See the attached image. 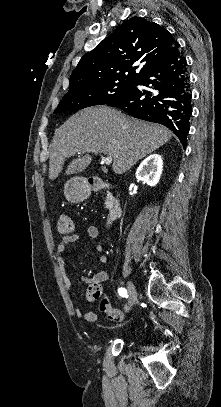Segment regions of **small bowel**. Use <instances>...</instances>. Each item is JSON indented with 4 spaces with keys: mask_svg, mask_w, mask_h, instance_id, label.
Wrapping results in <instances>:
<instances>
[{
    "mask_svg": "<svg viewBox=\"0 0 221 407\" xmlns=\"http://www.w3.org/2000/svg\"><path fill=\"white\" fill-rule=\"evenodd\" d=\"M86 234L88 235V237H90L91 239H94V240H96L100 237L99 230L95 226L87 227ZM80 236H81V233L79 230H73L71 234H69L68 236H64L60 239L59 244L56 249L57 264H58L61 280H62L63 285L66 287V289H68V291L70 292V295L72 297L76 296V292L72 289L71 281L66 273L64 259H65V256L67 255L68 246L76 243L80 239ZM96 249L100 252L102 251V247L100 245H98L96 247ZM99 258H100V261H102V262L106 261V256L103 254H101ZM107 279H108V272L104 271V270L96 272L91 277H89L87 275H83L81 277V281L88 285H90L92 282H96L101 285V283H103ZM101 295H102V289H101ZM86 299L88 300V290L86 292ZM75 313L79 318H81L85 321H88V322H94L97 319L96 313L84 312L79 307H77L75 309Z\"/></svg>",
    "mask_w": 221,
    "mask_h": 407,
    "instance_id": "1",
    "label": "small bowel"
}]
</instances>
